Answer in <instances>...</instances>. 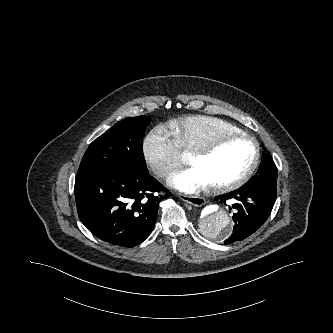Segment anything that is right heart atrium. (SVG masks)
<instances>
[{
  "instance_id": "obj_1",
  "label": "right heart atrium",
  "mask_w": 333,
  "mask_h": 333,
  "mask_svg": "<svg viewBox=\"0 0 333 333\" xmlns=\"http://www.w3.org/2000/svg\"><path fill=\"white\" fill-rule=\"evenodd\" d=\"M142 157L148 168L159 178H166L183 163L180 149L162 126L154 127L142 143Z\"/></svg>"
}]
</instances>
